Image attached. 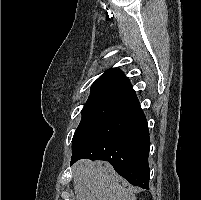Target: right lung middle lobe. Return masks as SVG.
<instances>
[{
	"label": "right lung middle lobe",
	"instance_id": "right-lung-middle-lobe-1",
	"mask_svg": "<svg viewBox=\"0 0 201 200\" xmlns=\"http://www.w3.org/2000/svg\"><path fill=\"white\" fill-rule=\"evenodd\" d=\"M131 101L132 100L127 97L109 92L91 93L82 109V119L74 133L73 139L91 125L122 108Z\"/></svg>",
	"mask_w": 201,
	"mask_h": 200
}]
</instances>
